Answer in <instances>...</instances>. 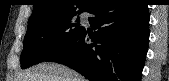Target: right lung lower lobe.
I'll use <instances>...</instances> for the list:
<instances>
[{
  "label": "right lung lower lobe",
  "instance_id": "98d812e1",
  "mask_svg": "<svg viewBox=\"0 0 169 81\" xmlns=\"http://www.w3.org/2000/svg\"><path fill=\"white\" fill-rule=\"evenodd\" d=\"M94 34L83 30L45 61L64 64L90 81H140L149 42L148 6L140 0H95ZM93 43L88 44V40Z\"/></svg>",
  "mask_w": 169,
  "mask_h": 81
}]
</instances>
